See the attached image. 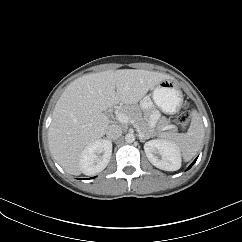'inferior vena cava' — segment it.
I'll use <instances>...</instances> for the list:
<instances>
[{"mask_svg":"<svg viewBox=\"0 0 242 242\" xmlns=\"http://www.w3.org/2000/svg\"><path fill=\"white\" fill-rule=\"evenodd\" d=\"M106 135L108 139H117L122 135V128L117 124L109 125Z\"/></svg>","mask_w":242,"mask_h":242,"instance_id":"602c4592","label":"inferior vena cava"}]
</instances>
